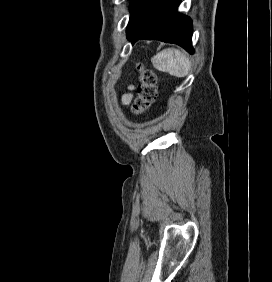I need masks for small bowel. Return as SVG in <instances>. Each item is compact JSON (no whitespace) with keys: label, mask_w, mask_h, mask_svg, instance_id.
<instances>
[{"label":"small bowel","mask_w":272,"mask_h":282,"mask_svg":"<svg viewBox=\"0 0 272 282\" xmlns=\"http://www.w3.org/2000/svg\"><path fill=\"white\" fill-rule=\"evenodd\" d=\"M133 90H134V86H133V85H130V86L128 87L127 92H126L125 94H123L121 100H122V103H123L124 105H127V104H129V103L132 101V98H133Z\"/></svg>","instance_id":"c3829d8e"}]
</instances>
